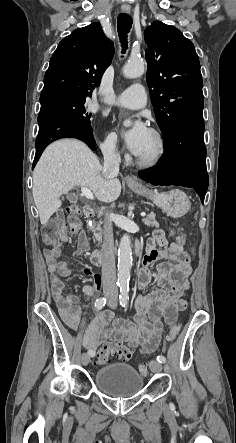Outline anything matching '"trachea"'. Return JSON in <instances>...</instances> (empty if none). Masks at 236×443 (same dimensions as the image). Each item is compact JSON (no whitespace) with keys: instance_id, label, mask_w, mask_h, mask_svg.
<instances>
[{"instance_id":"obj_1","label":"trachea","mask_w":236,"mask_h":443,"mask_svg":"<svg viewBox=\"0 0 236 443\" xmlns=\"http://www.w3.org/2000/svg\"><path fill=\"white\" fill-rule=\"evenodd\" d=\"M132 22L133 21L130 15L126 13L119 14L117 19V30L120 42L122 44V53H125L126 49L128 48L127 37L132 27Z\"/></svg>"}]
</instances>
